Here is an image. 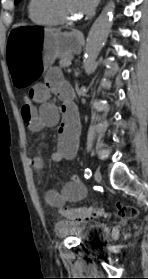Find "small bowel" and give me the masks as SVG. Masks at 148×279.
I'll list each match as a JSON object with an SVG mask.
<instances>
[{
    "mask_svg": "<svg viewBox=\"0 0 148 279\" xmlns=\"http://www.w3.org/2000/svg\"><path fill=\"white\" fill-rule=\"evenodd\" d=\"M29 92L32 102L29 106L23 104L21 109L26 125L35 132L59 125L58 146L52 154V159L54 161L73 159L78 145L79 119L71 102V87L63 79L62 73L57 68L51 69L45 81L33 86ZM52 94L62 101L61 107L49 101ZM33 103L39 104V107H35ZM31 163L37 171H40L43 165L39 157L33 158ZM86 194L87 190L79 177L72 176L60 191H48L46 199L50 205L60 207L67 202L80 201Z\"/></svg>",
    "mask_w": 148,
    "mask_h": 279,
    "instance_id": "1",
    "label": "small bowel"
}]
</instances>
